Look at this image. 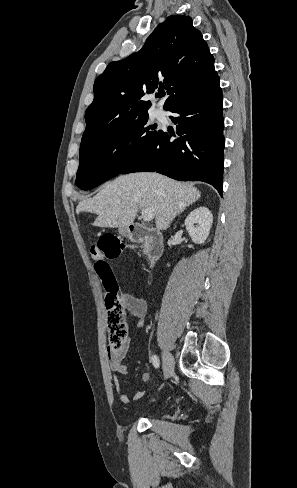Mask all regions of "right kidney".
I'll return each instance as SVG.
<instances>
[{"instance_id":"ca27d5eb","label":"right kidney","mask_w":297,"mask_h":488,"mask_svg":"<svg viewBox=\"0 0 297 488\" xmlns=\"http://www.w3.org/2000/svg\"><path fill=\"white\" fill-rule=\"evenodd\" d=\"M213 222V216L207 207H197L192 210L185 219V227L196 244L204 243L210 233ZM198 224L195 226L194 224Z\"/></svg>"}]
</instances>
